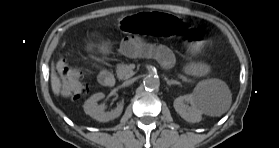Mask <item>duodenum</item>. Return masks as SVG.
<instances>
[{
	"instance_id": "obj_1",
	"label": "duodenum",
	"mask_w": 279,
	"mask_h": 148,
	"mask_svg": "<svg viewBox=\"0 0 279 148\" xmlns=\"http://www.w3.org/2000/svg\"><path fill=\"white\" fill-rule=\"evenodd\" d=\"M100 78L108 87H113L115 85V79L106 69L100 70Z\"/></svg>"
}]
</instances>
